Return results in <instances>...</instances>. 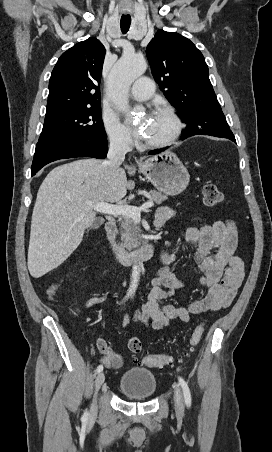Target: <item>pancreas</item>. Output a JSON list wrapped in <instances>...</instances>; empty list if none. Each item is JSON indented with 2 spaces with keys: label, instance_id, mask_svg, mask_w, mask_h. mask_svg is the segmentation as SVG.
I'll return each mask as SVG.
<instances>
[{
  "label": "pancreas",
  "instance_id": "obj_1",
  "mask_svg": "<svg viewBox=\"0 0 272 452\" xmlns=\"http://www.w3.org/2000/svg\"><path fill=\"white\" fill-rule=\"evenodd\" d=\"M167 195L160 192L151 190L149 192V201L155 202L160 205L163 201L167 200ZM120 221V234L122 240V247L127 249L137 248L141 245V230L138 224L133 218L128 216H122Z\"/></svg>",
  "mask_w": 272,
  "mask_h": 452
}]
</instances>
